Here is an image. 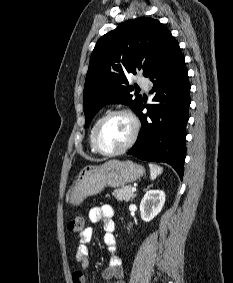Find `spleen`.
<instances>
[{
    "label": "spleen",
    "mask_w": 233,
    "mask_h": 283,
    "mask_svg": "<svg viewBox=\"0 0 233 283\" xmlns=\"http://www.w3.org/2000/svg\"><path fill=\"white\" fill-rule=\"evenodd\" d=\"M150 168V179L155 180L163 172V168L156 164H149Z\"/></svg>",
    "instance_id": "obj_1"
}]
</instances>
